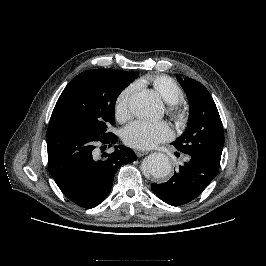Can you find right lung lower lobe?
Here are the masks:
<instances>
[{
  "mask_svg": "<svg viewBox=\"0 0 266 266\" xmlns=\"http://www.w3.org/2000/svg\"><path fill=\"white\" fill-rule=\"evenodd\" d=\"M117 140L113 133L96 137L74 129L48 128L49 172L68 199L89 209L108 196L119 167L137 159L134 151L125 146L95 158L97 145L112 146Z\"/></svg>",
  "mask_w": 266,
  "mask_h": 266,
  "instance_id": "right-lung-lower-lobe-1",
  "label": "right lung lower lobe"
}]
</instances>
